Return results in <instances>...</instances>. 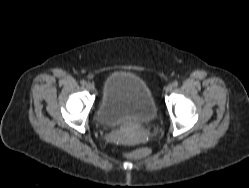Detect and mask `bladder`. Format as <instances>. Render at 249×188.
Returning <instances> with one entry per match:
<instances>
[{
	"label": "bladder",
	"mask_w": 249,
	"mask_h": 188,
	"mask_svg": "<svg viewBox=\"0 0 249 188\" xmlns=\"http://www.w3.org/2000/svg\"><path fill=\"white\" fill-rule=\"evenodd\" d=\"M158 108L149 85L139 76L115 71L103 84L97 119L107 127L121 126L129 121L152 123Z\"/></svg>",
	"instance_id": "31cf9c89"
}]
</instances>
